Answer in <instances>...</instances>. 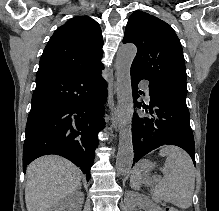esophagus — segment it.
Returning a JSON list of instances; mask_svg holds the SVG:
<instances>
[{
  "instance_id": "34e87169",
  "label": "esophagus",
  "mask_w": 219,
  "mask_h": 211,
  "mask_svg": "<svg viewBox=\"0 0 219 211\" xmlns=\"http://www.w3.org/2000/svg\"><path fill=\"white\" fill-rule=\"evenodd\" d=\"M111 118H112V122L114 124V127L117 129V127H118V118H117V107H116V105H114L113 108H112Z\"/></svg>"
}]
</instances>
